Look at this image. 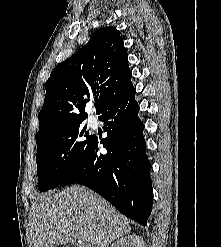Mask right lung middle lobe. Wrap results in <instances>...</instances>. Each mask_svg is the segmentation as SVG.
<instances>
[{
	"mask_svg": "<svg viewBox=\"0 0 221 247\" xmlns=\"http://www.w3.org/2000/svg\"><path fill=\"white\" fill-rule=\"evenodd\" d=\"M82 122L65 124L36 138L38 189L41 192L59 186L82 157L92 138Z\"/></svg>",
	"mask_w": 221,
	"mask_h": 247,
	"instance_id": "1",
	"label": "right lung middle lobe"
}]
</instances>
